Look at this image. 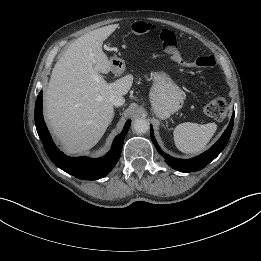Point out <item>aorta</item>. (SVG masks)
<instances>
[{"label":"aorta","instance_id":"1","mask_svg":"<svg viewBox=\"0 0 261 261\" xmlns=\"http://www.w3.org/2000/svg\"><path fill=\"white\" fill-rule=\"evenodd\" d=\"M133 128L137 133H146L149 130V122L145 118H137L133 122Z\"/></svg>","mask_w":261,"mask_h":261}]
</instances>
